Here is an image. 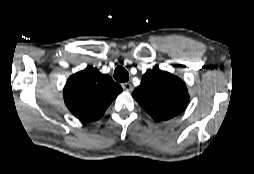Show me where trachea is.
I'll return each mask as SVG.
<instances>
[{
  "instance_id": "3493384b",
  "label": "trachea",
  "mask_w": 254,
  "mask_h": 174,
  "mask_svg": "<svg viewBox=\"0 0 254 174\" xmlns=\"http://www.w3.org/2000/svg\"><path fill=\"white\" fill-rule=\"evenodd\" d=\"M114 78L118 82H127L129 80V74L123 67L119 66L114 71Z\"/></svg>"
}]
</instances>
